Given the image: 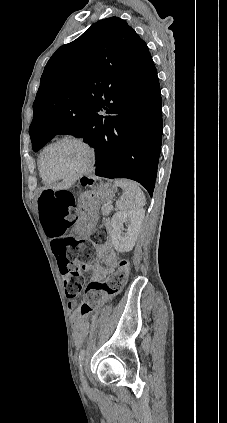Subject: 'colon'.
<instances>
[{
    "label": "colon",
    "mask_w": 227,
    "mask_h": 423,
    "mask_svg": "<svg viewBox=\"0 0 227 423\" xmlns=\"http://www.w3.org/2000/svg\"><path fill=\"white\" fill-rule=\"evenodd\" d=\"M82 184H90V181H83ZM38 208L46 234L57 238L53 253L63 277L66 297L74 299L82 290L83 272L95 258V245L106 243L108 240L107 228L99 227L89 240L77 241L65 237L66 231L77 217L74 195L67 189L42 190L38 198ZM128 273L129 262L126 258H121L118 269L107 281L90 282L84 292L80 313L90 314L105 294L118 293L126 284Z\"/></svg>",
    "instance_id": "colon-1"
}]
</instances>
